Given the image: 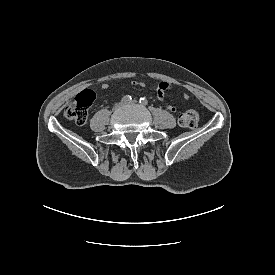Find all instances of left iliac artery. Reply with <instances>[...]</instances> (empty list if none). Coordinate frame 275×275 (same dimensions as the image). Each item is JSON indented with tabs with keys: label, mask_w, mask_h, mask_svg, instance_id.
I'll return each instance as SVG.
<instances>
[{
	"label": "left iliac artery",
	"mask_w": 275,
	"mask_h": 275,
	"mask_svg": "<svg viewBox=\"0 0 275 275\" xmlns=\"http://www.w3.org/2000/svg\"><path fill=\"white\" fill-rule=\"evenodd\" d=\"M139 103L142 105H147L148 101H147V99L142 97V98H140Z\"/></svg>",
	"instance_id": "obj_1"
}]
</instances>
